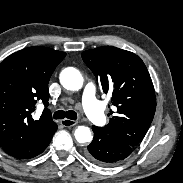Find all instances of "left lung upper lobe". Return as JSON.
<instances>
[{"label":"left lung upper lobe","instance_id":"left-lung-upper-lobe-1","mask_svg":"<svg viewBox=\"0 0 183 183\" xmlns=\"http://www.w3.org/2000/svg\"><path fill=\"white\" fill-rule=\"evenodd\" d=\"M82 59L111 95L107 134L135 147L147 133L155 113L154 86L143 61L134 53L112 46L84 51ZM109 116V114H108Z\"/></svg>","mask_w":183,"mask_h":183}]
</instances>
